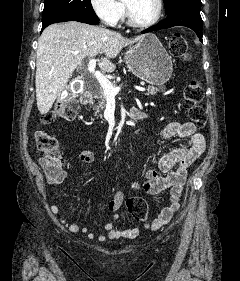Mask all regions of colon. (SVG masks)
<instances>
[{
    "label": "colon",
    "instance_id": "obj_1",
    "mask_svg": "<svg viewBox=\"0 0 240 281\" xmlns=\"http://www.w3.org/2000/svg\"><path fill=\"white\" fill-rule=\"evenodd\" d=\"M170 52L173 56L187 59L189 47L186 39L180 33H175L170 38ZM204 97L200 82L192 80L183 90L182 105L188 116L199 128H204L207 122L206 113L201 106ZM77 115L75 100H66L58 103L53 111L45 115L42 124L47 125L56 119L73 120ZM35 143L41 155V165L47 175L55 176L61 167V154L58 140L47 130L38 128L35 131ZM129 214L137 221L142 222L147 218V204L140 197H130L126 200Z\"/></svg>",
    "mask_w": 240,
    "mask_h": 281
}]
</instances>
